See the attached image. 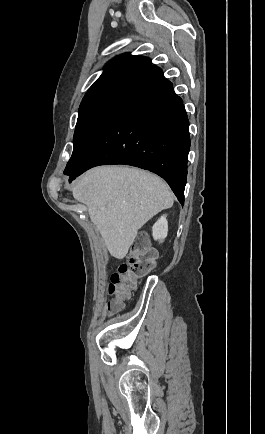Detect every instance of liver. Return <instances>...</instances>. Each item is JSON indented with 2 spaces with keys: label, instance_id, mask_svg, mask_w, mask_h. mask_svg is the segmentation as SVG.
Listing matches in <instances>:
<instances>
[{
  "label": "liver",
  "instance_id": "1",
  "mask_svg": "<svg viewBox=\"0 0 265 434\" xmlns=\"http://www.w3.org/2000/svg\"><path fill=\"white\" fill-rule=\"evenodd\" d=\"M73 198L88 208L111 256L123 260L138 230L161 210L173 206V194L158 176L120 166L86 172L72 188Z\"/></svg>",
  "mask_w": 265,
  "mask_h": 434
}]
</instances>
